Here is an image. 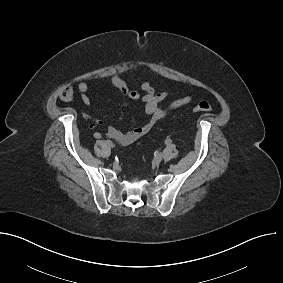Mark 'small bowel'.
I'll return each instance as SVG.
<instances>
[{
    "mask_svg": "<svg viewBox=\"0 0 283 283\" xmlns=\"http://www.w3.org/2000/svg\"><path fill=\"white\" fill-rule=\"evenodd\" d=\"M111 82L120 93L132 100L140 99L144 105L145 114L148 116V120L142 126L136 127L128 132H122L116 127L110 126L107 130V135L116 140L120 145L131 144L144 136H146L159 122L163 119L168 109H175L189 103L190 98L184 97L171 103L168 109L162 107V102L167 97V92H157L150 81H144L140 88L143 91V95L136 88H129L125 81L117 74L112 75ZM78 90L81 94V100L84 105H90V97L88 95L89 86L86 82L82 81L78 84ZM101 121L95 120L93 127L101 125Z\"/></svg>",
    "mask_w": 283,
    "mask_h": 283,
    "instance_id": "1",
    "label": "small bowel"
}]
</instances>
